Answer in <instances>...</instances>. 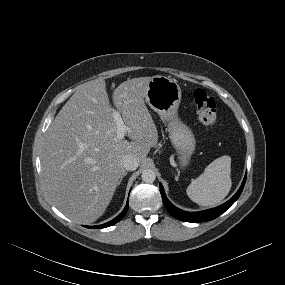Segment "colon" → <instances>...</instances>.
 <instances>
[{"label":"colon","mask_w":285,"mask_h":285,"mask_svg":"<svg viewBox=\"0 0 285 285\" xmlns=\"http://www.w3.org/2000/svg\"><path fill=\"white\" fill-rule=\"evenodd\" d=\"M193 102L199 121L206 126H215L217 123L216 101L203 89L193 92Z\"/></svg>","instance_id":"5ec220e1"}]
</instances>
